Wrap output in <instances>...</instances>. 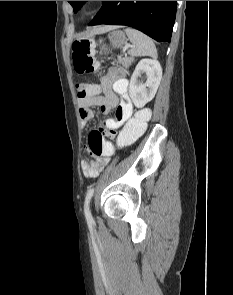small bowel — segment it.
Instances as JSON below:
<instances>
[{
    "mask_svg": "<svg viewBox=\"0 0 233 295\" xmlns=\"http://www.w3.org/2000/svg\"><path fill=\"white\" fill-rule=\"evenodd\" d=\"M129 82L119 69H111L102 79L99 92L95 95L78 97L79 114L83 124L94 118L92 107H99L104 114L115 110V117L103 120L99 130L107 133L116 130L128 122L133 115V104L129 98ZM108 162L106 156L97 157L95 160L82 159L81 169L85 177H97Z\"/></svg>",
    "mask_w": 233,
    "mask_h": 295,
    "instance_id": "1",
    "label": "small bowel"
}]
</instances>
